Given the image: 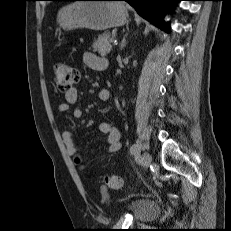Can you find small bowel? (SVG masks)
I'll return each mask as SVG.
<instances>
[{
  "label": "small bowel",
  "mask_w": 231,
  "mask_h": 231,
  "mask_svg": "<svg viewBox=\"0 0 231 231\" xmlns=\"http://www.w3.org/2000/svg\"><path fill=\"white\" fill-rule=\"evenodd\" d=\"M84 63L93 70H101V66L107 65V61L93 53L87 52L83 56ZM102 71V70H101ZM65 101L60 103L57 107L58 112L66 113L70 110V106L75 104L78 100V90L72 87L70 90L64 92ZM98 98L101 102H108L110 99V92L107 89H102L98 93ZM72 115L75 119H81L83 117V111L81 108L76 107L72 110ZM101 133L107 136V150L109 153H115L122 147L121 133L119 129L107 122H102L99 125ZM62 140L66 146L69 154L75 155L78 152V147L75 141L74 133L70 130H65L62 133Z\"/></svg>",
  "instance_id": "small-bowel-1"
}]
</instances>
